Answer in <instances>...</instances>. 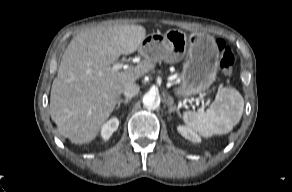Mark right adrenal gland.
I'll list each match as a JSON object with an SVG mask.
<instances>
[{
	"instance_id": "right-adrenal-gland-1",
	"label": "right adrenal gland",
	"mask_w": 292,
	"mask_h": 192,
	"mask_svg": "<svg viewBox=\"0 0 292 192\" xmlns=\"http://www.w3.org/2000/svg\"><path fill=\"white\" fill-rule=\"evenodd\" d=\"M129 101H130V98L119 99L118 102H117V106H116L115 110H118L122 103H124L126 105Z\"/></svg>"
}]
</instances>
